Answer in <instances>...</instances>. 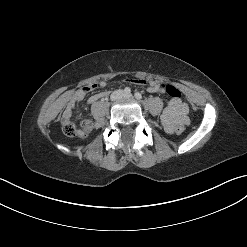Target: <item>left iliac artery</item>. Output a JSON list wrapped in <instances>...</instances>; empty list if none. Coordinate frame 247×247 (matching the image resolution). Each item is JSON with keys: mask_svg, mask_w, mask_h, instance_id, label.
<instances>
[{"mask_svg": "<svg viewBox=\"0 0 247 247\" xmlns=\"http://www.w3.org/2000/svg\"><path fill=\"white\" fill-rule=\"evenodd\" d=\"M134 96H135V98L138 99V100L142 99V95H141L139 92H136V93L134 94Z\"/></svg>", "mask_w": 247, "mask_h": 247, "instance_id": "1", "label": "left iliac artery"}]
</instances>
